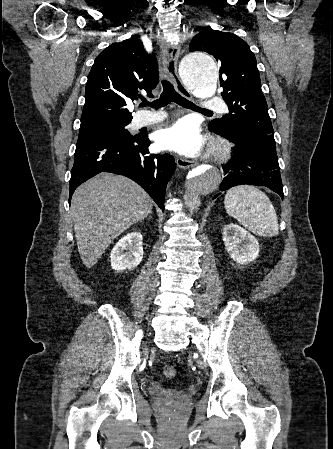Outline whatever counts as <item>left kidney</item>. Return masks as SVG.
Returning <instances> with one entry per match:
<instances>
[{
    "label": "left kidney",
    "instance_id": "obj_1",
    "mask_svg": "<svg viewBox=\"0 0 333 449\" xmlns=\"http://www.w3.org/2000/svg\"><path fill=\"white\" fill-rule=\"evenodd\" d=\"M223 241L227 252L236 262L244 264L258 257L259 243L256 238L237 224L223 229Z\"/></svg>",
    "mask_w": 333,
    "mask_h": 449
}]
</instances>
